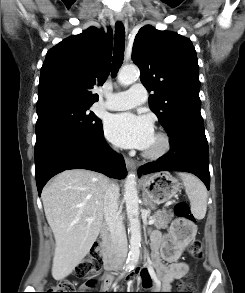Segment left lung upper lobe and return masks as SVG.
<instances>
[{
  "label": "left lung upper lobe",
  "instance_id": "5c2ea615",
  "mask_svg": "<svg viewBox=\"0 0 245 293\" xmlns=\"http://www.w3.org/2000/svg\"><path fill=\"white\" fill-rule=\"evenodd\" d=\"M132 60L142 84L154 92L149 106L167 133L182 126L204 129L199 66L190 39L146 25L135 37Z\"/></svg>",
  "mask_w": 245,
  "mask_h": 293
}]
</instances>
